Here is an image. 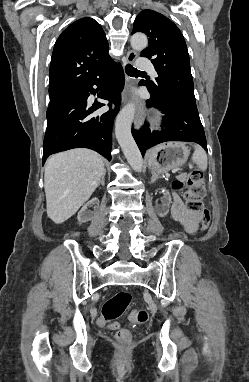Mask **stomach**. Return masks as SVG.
I'll use <instances>...</instances> for the list:
<instances>
[{
  "label": "stomach",
  "instance_id": "1",
  "mask_svg": "<svg viewBox=\"0 0 249 382\" xmlns=\"http://www.w3.org/2000/svg\"><path fill=\"white\" fill-rule=\"evenodd\" d=\"M190 151L181 142H166L148 151L147 160L149 168L158 174H165L169 170L183 166Z\"/></svg>",
  "mask_w": 249,
  "mask_h": 382
}]
</instances>
